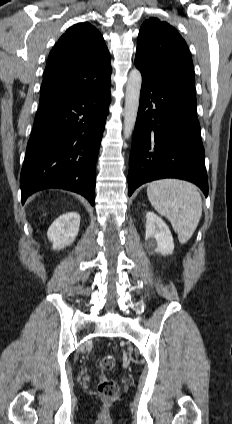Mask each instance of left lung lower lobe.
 Segmentation results:
<instances>
[{
	"instance_id": "1",
	"label": "left lung lower lobe",
	"mask_w": 232,
	"mask_h": 424,
	"mask_svg": "<svg viewBox=\"0 0 232 424\" xmlns=\"http://www.w3.org/2000/svg\"><path fill=\"white\" fill-rule=\"evenodd\" d=\"M179 178L208 195L195 83L142 80L128 172V194L143 183Z\"/></svg>"
}]
</instances>
